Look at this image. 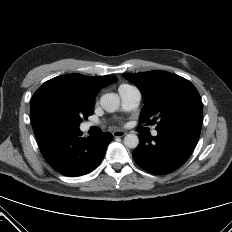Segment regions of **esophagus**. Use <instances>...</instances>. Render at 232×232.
Instances as JSON below:
<instances>
[{
    "instance_id": "obj_1",
    "label": "esophagus",
    "mask_w": 232,
    "mask_h": 232,
    "mask_svg": "<svg viewBox=\"0 0 232 232\" xmlns=\"http://www.w3.org/2000/svg\"><path fill=\"white\" fill-rule=\"evenodd\" d=\"M112 135L114 137H123L124 135H126V133L124 131H121V130H115L112 132Z\"/></svg>"
}]
</instances>
